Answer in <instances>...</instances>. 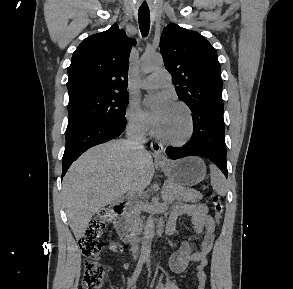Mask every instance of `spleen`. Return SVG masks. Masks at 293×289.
<instances>
[{
	"label": "spleen",
	"mask_w": 293,
	"mask_h": 289,
	"mask_svg": "<svg viewBox=\"0 0 293 289\" xmlns=\"http://www.w3.org/2000/svg\"><path fill=\"white\" fill-rule=\"evenodd\" d=\"M210 180L213 190L217 194L225 196L227 193L226 179L220 170L214 165H210Z\"/></svg>",
	"instance_id": "1"
}]
</instances>
